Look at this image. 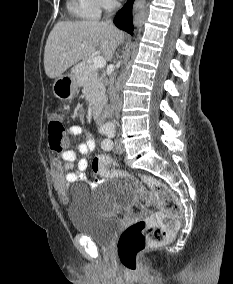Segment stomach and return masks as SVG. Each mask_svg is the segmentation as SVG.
<instances>
[{"label": "stomach", "mask_w": 233, "mask_h": 284, "mask_svg": "<svg viewBox=\"0 0 233 284\" xmlns=\"http://www.w3.org/2000/svg\"><path fill=\"white\" fill-rule=\"evenodd\" d=\"M79 81L74 73L62 74L57 77L53 84V93L60 100L72 99L78 90Z\"/></svg>", "instance_id": "obj_1"}]
</instances>
